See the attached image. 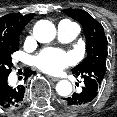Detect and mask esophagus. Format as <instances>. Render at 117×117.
<instances>
[{
    "instance_id": "34e87169",
    "label": "esophagus",
    "mask_w": 117,
    "mask_h": 117,
    "mask_svg": "<svg viewBox=\"0 0 117 117\" xmlns=\"http://www.w3.org/2000/svg\"><path fill=\"white\" fill-rule=\"evenodd\" d=\"M50 79L55 82L60 80L58 77H50Z\"/></svg>"
}]
</instances>
